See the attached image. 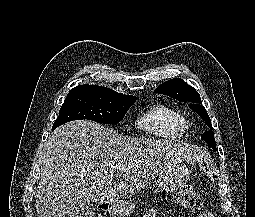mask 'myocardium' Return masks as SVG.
<instances>
[{
  "label": "myocardium",
  "instance_id": "myocardium-1",
  "mask_svg": "<svg viewBox=\"0 0 255 217\" xmlns=\"http://www.w3.org/2000/svg\"><path fill=\"white\" fill-rule=\"evenodd\" d=\"M188 125H189V123L187 121H185V126H188Z\"/></svg>",
  "mask_w": 255,
  "mask_h": 217
}]
</instances>
